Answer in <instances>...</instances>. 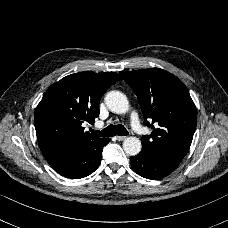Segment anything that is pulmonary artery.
I'll return each mask as SVG.
<instances>
[{
	"label": "pulmonary artery",
	"instance_id": "e3ab8cb5",
	"mask_svg": "<svg viewBox=\"0 0 228 228\" xmlns=\"http://www.w3.org/2000/svg\"><path fill=\"white\" fill-rule=\"evenodd\" d=\"M131 128L136 130L137 134L144 135L147 132L146 127L142 126V121L138 119L137 114H132Z\"/></svg>",
	"mask_w": 228,
	"mask_h": 228
}]
</instances>
